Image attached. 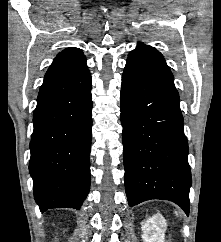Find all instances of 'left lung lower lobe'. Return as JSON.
Returning a JSON list of instances; mask_svg holds the SVG:
<instances>
[{"mask_svg":"<svg viewBox=\"0 0 221 242\" xmlns=\"http://www.w3.org/2000/svg\"><path fill=\"white\" fill-rule=\"evenodd\" d=\"M120 98L129 206L164 199L188 215L192 180L178 91L126 65Z\"/></svg>","mask_w":221,"mask_h":242,"instance_id":"left-lung-lower-lobe-1","label":"left lung lower lobe"}]
</instances>
